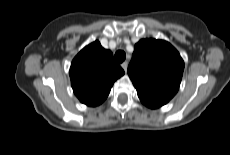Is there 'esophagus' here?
<instances>
[{"instance_id": "obj_1", "label": "esophagus", "mask_w": 230, "mask_h": 155, "mask_svg": "<svg viewBox=\"0 0 230 155\" xmlns=\"http://www.w3.org/2000/svg\"><path fill=\"white\" fill-rule=\"evenodd\" d=\"M121 67L123 68V70L126 72L127 71V67H128V62L125 61L121 64Z\"/></svg>"}]
</instances>
